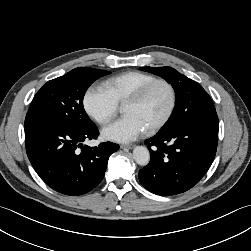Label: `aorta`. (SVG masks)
Masks as SVG:
<instances>
[{"mask_svg":"<svg viewBox=\"0 0 251 251\" xmlns=\"http://www.w3.org/2000/svg\"><path fill=\"white\" fill-rule=\"evenodd\" d=\"M133 158L140 166H146L150 161L149 150L144 146H136L133 150Z\"/></svg>","mask_w":251,"mask_h":251,"instance_id":"762f6f07","label":"aorta"}]
</instances>
